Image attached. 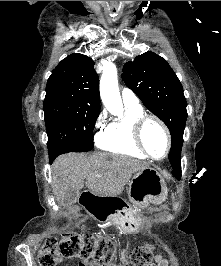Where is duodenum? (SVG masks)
<instances>
[{"label":"duodenum","mask_w":221,"mask_h":266,"mask_svg":"<svg viewBox=\"0 0 221 266\" xmlns=\"http://www.w3.org/2000/svg\"><path fill=\"white\" fill-rule=\"evenodd\" d=\"M78 203L87 206L86 212L97 219V223H109V219L114 218L124 229L132 226L125 216L123 200L116 194H106V189H99V191L85 189L82 191L81 198H78Z\"/></svg>","instance_id":"obj_1"}]
</instances>
